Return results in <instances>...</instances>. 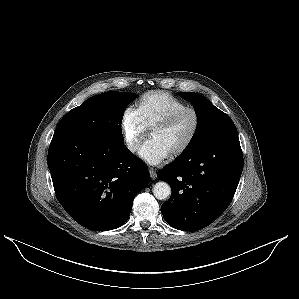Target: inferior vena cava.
<instances>
[{"mask_svg":"<svg viewBox=\"0 0 299 299\" xmlns=\"http://www.w3.org/2000/svg\"><path fill=\"white\" fill-rule=\"evenodd\" d=\"M130 147H131V149H132V150H135V149H136V147H135V146H133V145H132V146H130Z\"/></svg>","mask_w":299,"mask_h":299,"instance_id":"obj_1","label":"inferior vena cava"}]
</instances>
